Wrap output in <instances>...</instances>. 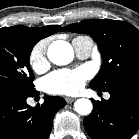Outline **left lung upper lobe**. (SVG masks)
Wrapping results in <instances>:
<instances>
[{
    "label": "left lung upper lobe",
    "mask_w": 139,
    "mask_h": 139,
    "mask_svg": "<svg viewBox=\"0 0 139 139\" xmlns=\"http://www.w3.org/2000/svg\"><path fill=\"white\" fill-rule=\"evenodd\" d=\"M73 33L90 35L98 44L103 64L90 87L107 91L123 78L139 73V30L117 20H84L65 26Z\"/></svg>",
    "instance_id": "obj_1"
}]
</instances>
